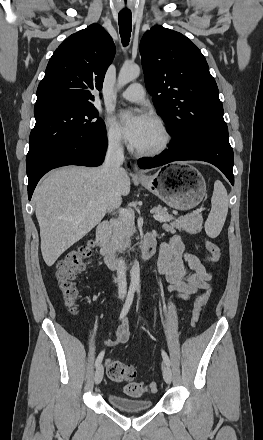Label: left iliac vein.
Instances as JSON below:
<instances>
[{
  "instance_id": "4c4485c4",
  "label": "left iliac vein",
  "mask_w": 263,
  "mask_h": 440,
  "mask_svg": "<svg viewBox=\"0 0 263 440\" xmlns=\"http://www.w3.org/2000/svg\"><path fill=\"white\" fill-rule=\"evenodd\" d=\"M163 378L166 383L170 384L172 381V371L167 364L162 365Z\"/></svg>"
}]
</instances>
